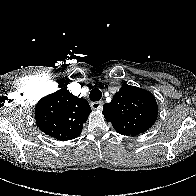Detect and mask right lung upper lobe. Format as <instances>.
Returning <instances> with one entry per match:
<instances>
[{
  "label": "right lung upper lobe",
  "mask_w": 196,
  "mask_h": 196,
  "mask_svg": "<svg viewBox=\"0 0 196 196\" xmlns=\"http://www.w3.org/2000/svg\"><path fill=\"white\" fill-rule=\"evenodd\" d=\"M91 112L89 103L66 87L42 98L36 105L37 126L46 135L66 141L78 137Z\"/></svg>",
  "instance_id": "cb5924a9"
}]
</instances>
